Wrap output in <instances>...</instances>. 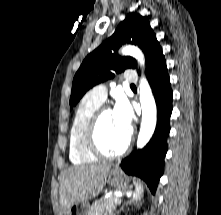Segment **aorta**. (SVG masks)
<instances>
[{
  "label": "aorta",
  "instance_id": "obj_1",
  "mask_svg": "<svg viewBox=\"0 0 221 215\" xmlns=\"http://www.w3.org/2000/svg\"><path fill=\"white\" fill-rule=\"evenodd\" d=\"M121 52L123 55L134 57L140 66L144 67V55L138 47L128 45L123 47ZM139 97L142 108V121L137 139V147L143 148L151 139L157 122L156 103L150 85L144 76L140 79Z\"/></svg>",
  "mask_w": 221,
  "mask_h": 215
}]
</instances>
